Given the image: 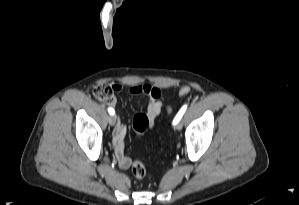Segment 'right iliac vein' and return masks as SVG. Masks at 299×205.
Wrapping results in <instances>:
<instances>
[{
    "instance_id": "63e3f726",
    "label": "right iliac vein",
    "mask_w": 299,
    "mask_h": 205,
    "mask_svg": "<svg viewBox=\"0 0 299 205\" xmlns=\"http://www.w3.org/2000/svg\"><path fill=\"white\" fill-rule=\"evenodd\" d=\"M108 121L111 126H114L116 124V115H110Z\"/></svg>"
}]
</instances>
